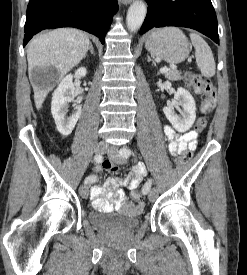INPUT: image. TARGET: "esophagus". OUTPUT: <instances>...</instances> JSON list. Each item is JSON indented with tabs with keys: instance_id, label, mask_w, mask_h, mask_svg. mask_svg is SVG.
<instances>
[{
	"instance_id": "esophagus-1",
	"label": "esophagus",
	"mask_w": 247,
	"mask_h": 275,
	"mask_svg": "<svg viewBox=\"0 0 247 275\" xmlns=\"http://www.w3.org/2000/svg\"><path fill=\"white\" fill-rule=\"evenodd\" d=\"M121 4L127 5L132 2V0H118Z\"/></svg>"
}]
</instances>
